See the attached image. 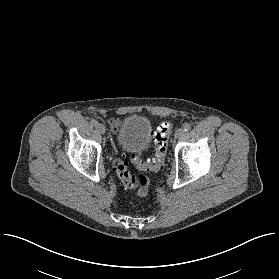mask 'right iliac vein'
<instances>
[{"instance_id":"obj_1","label":"right iliac vein","mask_w":279,"mask_h":279,"mask_svg":"<svg viewBox=\"0 0 279 279\" xmlns=\"http://www.w3.org/2000/svg\"><path fill=\"white\" fill-rule=\"evenodd\" d=\"M96 128L100 133H102V134L105 133V127L102 124H97Z\"/></svg>"}]
</instances>
